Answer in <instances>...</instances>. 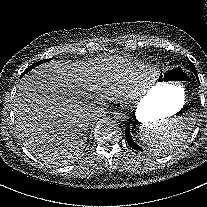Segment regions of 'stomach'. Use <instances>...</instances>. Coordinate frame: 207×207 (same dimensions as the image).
I'll return each instance as SVG.
<instances>
[{
	"label": "stomach",
	"mask_w": 207,
	"mask_h": 207,
	"mask_svg": "<svg viewBox=\"0 0 207 207\" xmlns=\"http://www.w3.org/2000/svg\"><path fill=\"white\" fill-rule=\"evenodd\" d=\"M187 81L188 76L182 67L162 70L156 84L138 103L137 120L142 125L153 124L179 112L184 105Z\"/></svg>",
	"instance_id": "1"
}]
</instances>
